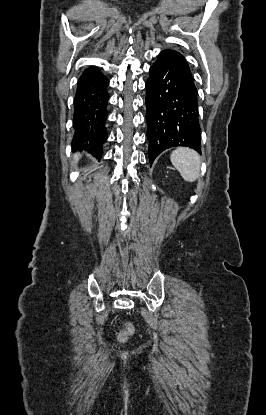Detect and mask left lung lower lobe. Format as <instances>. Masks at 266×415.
I'll return each instance as SVG.
<instances>
[{"mask_svg":"<svg viewBox=\"0 0 266 415\" xmlns=\"http://www.w3.org/2000/svg\"><path fill=\"white\" fill-rule=\"evenodd\" d=\"M146 81L149 161L170 147L185 146L199 153L198 92L185 71L162 52Z\"/></svg>","mask_w":266,"mask_h":415,"instance_id":"0a47b994","label":"left lung lower lobe"}]
</instances>
